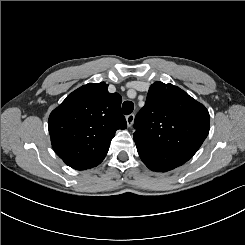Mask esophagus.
<instances>
[{
  "instance_id": "esophagus-1",
  "label": "esophagus",
  "mask_w": 245,
  "mask_h": 245,
  "mask_svg": "<svg viewBox=\"0 0 245 245\" xmlns=\"http://www.w3.org/2000/svg\"><path fill=\"white\" fill-rule=\"evenodd\" d=\"M126 121H127L128 127H131L133 125V122H134V114L127 115Z\"/></svg>"
}]
</instances>
